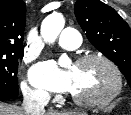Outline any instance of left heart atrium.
I'll list each match as a JSON object with an SVG mask.
<instances>
[{
    "instance_id": "left-heart-atrium-1",
    "label": "left heart atrium",
    "mask_w": 131,
    "mask_h": 115,
    "mask_svg": "<svg viewBox=\"0 0 131 115\" xmlns=\"http://www.w3.org/2000/svg\"><path fill=\"white\" fill-rule=\"evenodd\" d=\"M31 80L34 84L55 92H69L73 88L72 72L58 70L53 62L36 66L31 72Z\"/></svg>"
}]
</instances>
